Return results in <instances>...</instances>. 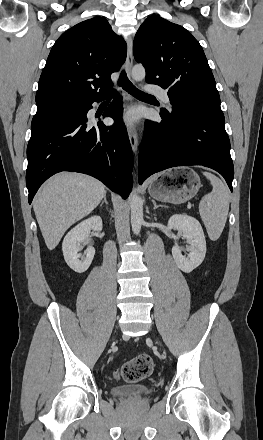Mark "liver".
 <instances>
[{"mask_svg":"<svg viewBox=\"0 0 263 440\" xmlns=\"http://www.w3.org/2000/svg\"><path fill=\"white\" fill-rule=\"evenodd\" d=\"M105 195L104 184L87 175L62 172L49 179L33 203L47 248L53 250L66 230L90 214Z\"/></svg>","mask_w":263,"mask_h":440,"instance_id":"1","label":"liver"}]
</instances>
